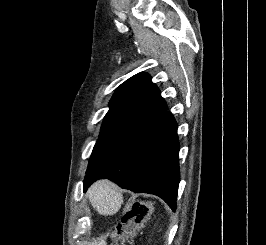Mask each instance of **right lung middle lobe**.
<instances>
[{"instance_id": "dd1d6c3e", "label": "right lung middle lobe", "mask_w": 266, "mask_h": 245, "mask_svg": "<svg viewBox=\"0 0 266 245\" xmlns=\"http://www.w3.org/2000/svg\"><path fill=\"white\" fill-rule=\"evenodd\" d=\"M143 123L144 121L141 120H124L105 117L99 139L93 149V153L89 161L88 169L112 149L118 146Z\"/></svg>"}]
</instances>
